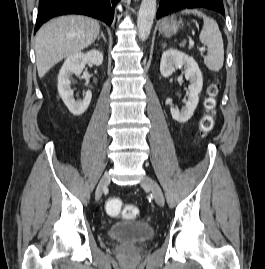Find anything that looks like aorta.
<instances>
[{
    "label": "aorta",
    "mask_w": 265,
    "mask_h": 269,
    "mask_svg": "<svg viewBox=\"0 0 265 269\" xmlns=\"http://www.w3.org/2000/svg\"><path fill=\"white\" fill-rule=\"evenodd\" d=\"M156 14V0H142L137 18L140 40L145 41L149 35Z\"/></svg>",
    "instance_id": "aorta-1"
}]
</instances>
